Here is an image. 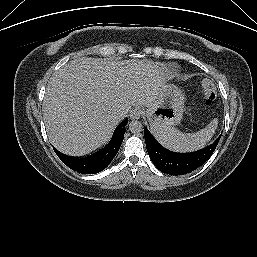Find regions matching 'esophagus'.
I'll return each instance as SVG.
<instances>
[{
	"label": "esophagus",
	"instance_id": "obj_1",
	"mask_svg": "<svg viewBox=\"0 0 257 257\" xmlns=\"http://www.w3.org/2000/svg\"><path fill=\"white\" fill-rule=\"evenodd\" d=\"M143 114V110L140 107H135L130 111L131 119H139Z\"/></svg>",
	"mask_w": 257,
	"mask_h": 257
}]
</instances>
